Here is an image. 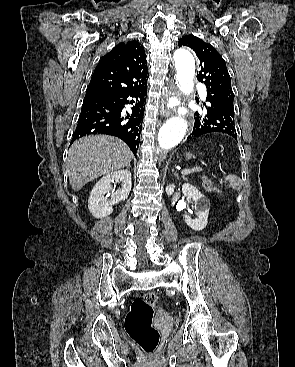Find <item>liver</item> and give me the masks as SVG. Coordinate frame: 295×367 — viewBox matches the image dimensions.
<instances>
[{
	"mask_svg": "<svg viewBox=\"0 0 295 367\" xmlns=\"http://www.w3.org/2000/svg\"><path fill=\"white\" fill-rule=\"evenodd\" d=\"M132 158L129 147L115 137H83L68 152L66 170L71 187L79 191L88 182L128 166Z\"/></svg>",
	"mask_w": 295,
	"mask_h": 367,
	"instance_id": "obj_1",
	"label": "liver"
}]
</instances>
